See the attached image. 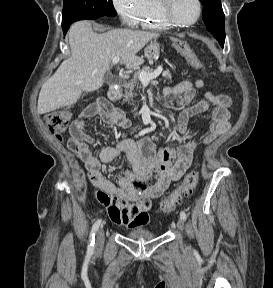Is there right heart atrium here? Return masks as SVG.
Returning a JSON list of instances; mask_svg holds the SVG:
<instances>
[{"label": "right heart atrium", "instance_id": "d8ad5b80", "mask_svg": "<svg viewBox=\"0 0 273 288\" xmlns=\"http://www.w3.org/2000/svg\"><path fill=\"white\" fill-rule=\"evenodd\" d=\"M143 1L144 0H112V4L124 24L135 26L137 25Z\"/></svg>", "mask_w": 273, "mask_h": 288}]
</instances>
